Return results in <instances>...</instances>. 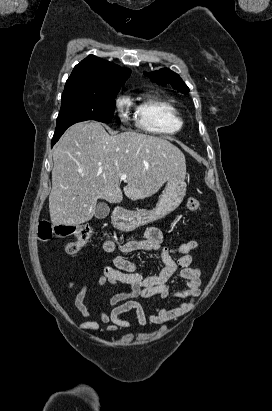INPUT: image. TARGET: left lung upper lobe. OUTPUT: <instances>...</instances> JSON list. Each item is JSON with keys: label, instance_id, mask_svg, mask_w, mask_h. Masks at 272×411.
<instances>
[{"label": "left lung upper lobe", "instance_id": "5c2ea615", "mask_svg": "<svg viewBox=\"0 0 272 411\" xmlns=\"http://www.w3.org/2000/svg\"><path fill=\"white\" fill-rule=\"evenodd\" d=\"M144 75L149 77L152 82H155L159 85L165 86L167 84H170L174 89L178 91L184 93L189 92V88L182 81L179 75L167 68L160 69L159 71H153L150 73L144 72Z\"/></svg>", "mask_w": 272, "mask_h": 411}]
</instances>
